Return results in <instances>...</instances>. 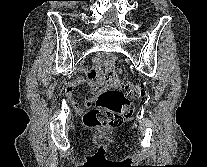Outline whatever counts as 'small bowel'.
Listing matches in <instances>:
<instances>
[{
  "mask_svg": "<svg viewBox=\"0 0 207 167\" xmlns=\"http://www.w3.org/2000/svg\"><path fill=\"white\" fill-rule=\"evenodd\" d=\"M87 83L93 94H96L102 87V83L100 80L89 78L86 79L84 77H78L70 82L67 83L66 85V94L67 97L72 104V106L79 112H82L84 109L88 108L91 106V104L94 101V96H89L85 99V102L83 105L79 103L77 98L74 95V89L76 88L77 85Z\"/></svg>",
  "mask_w": 207,
  "mask_h": 167,
  "instance_id": "small-bowel-1",
  "label": "small bowel"
}]
</instances>
